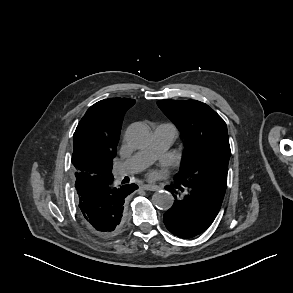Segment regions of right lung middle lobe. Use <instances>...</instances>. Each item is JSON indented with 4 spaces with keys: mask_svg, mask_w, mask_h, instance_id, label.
Wrapping results in <instances>:
<instances>
[{
    "mask_svg": "<svg viewBox=\"0 0 293 293\" xmlns=\"http://www.w3.org/2000/svg\"><path fill=\"white\" fill-rule=\"evenodd\" d=\"M112 170V162L97 163L95 172L92 175L110 176Z\"/></svg>",
    "mask_w": 293,
    "mask_h": 293,
    "instance_id": "right-lung-middle-lobe-1",
    "label": "right lung middle lobe"
}]
</instances>
